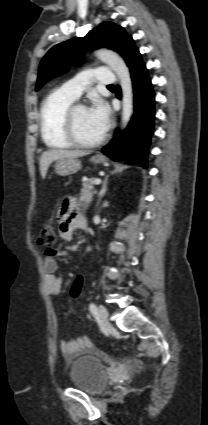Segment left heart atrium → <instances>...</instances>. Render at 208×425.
Listing matches in <instances>:
<instances>
[{
    "label": "left heart atrium",
    "mask_w": 208,
    "mask_h": 425,
    "mask_svg": "<svg viewBox=\"0 0 208 425\" xmlns=\"http://www.w3.org/2000/svg\"><path fill=\"white\" fill-rule=\"evenodd\" d=\"M88 110L96 126L104 134L110 122V113L107 105L102 100L97 99Z\"/></svg>",
    "instance_id": "left-heart-atrium-1"
}]
</instances>
